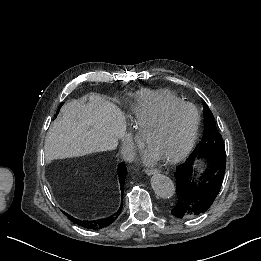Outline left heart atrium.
I'll return each instance as SVG.
<instances>
[{
  "label": "left heart atrium",
  "instance_id": "left-heart-atrium-1",
  "mask_svg": "<svg viewBox=\"0 0 261 261\" xmlns=\"http://www.w3.org/2000/svg\"><path fill=\"white\" fill-rule=\"evenodd\" d=\"M148 153H149L150 156H153V157H154V155H153L149 150H148Z\"/></svg>",
  "mask_w": 261,
  "mask_h": 261
}]
</instances>
